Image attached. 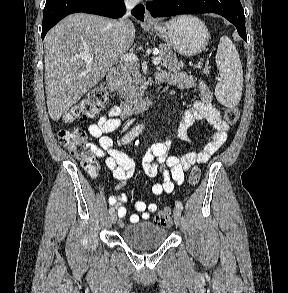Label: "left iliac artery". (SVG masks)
<instances>
[{
	"label": "left iliac artery",
	"instance_id": "obj_1",
	"mask_svg": "<svg viewBox=\"0 0 288 293\" xmlns=\"http://www.w3.org/2000/svg\"><path fill=\"white\" fill-rule=\"evenodd\" d=\"M138 143H139V141L137 140V141L135 142V144L138 145ZM175 205H176V207L179 208L180 210L183 209V205H182V203H181L180 201H176V202H175Z\"/></svg>",
	"mask_w": 288,
	"mask_h": 293
}]
</instances>
